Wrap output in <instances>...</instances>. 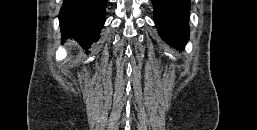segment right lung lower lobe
<instances>
[{
  "instance_id": "98d812e1",
  "label": "right lung lower lobe",
  "mask_w": 257,
  "mask_h": 130,
  "mask_svg": "<svg viewBox=\"0 0 257 130\" xmlns=\"http://www.w3.org/2000/svg\"><path fill=\"white\" fill-rule=\"evenodd\" d=\"M107 0H64L59 13L64 38H74L84 48L100 37Z\"/></svg>"
}]
</instances>
